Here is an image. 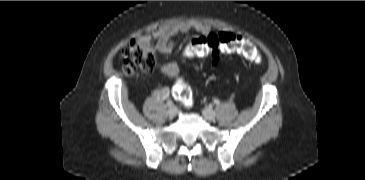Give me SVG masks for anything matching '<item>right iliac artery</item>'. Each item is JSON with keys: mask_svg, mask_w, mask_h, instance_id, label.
Listing matches in <instances>:
<instances>
[{"mask_svg": "<svg viewBox=\"0 0 365 180\" xmlns=\"http://www.w3.org/2000/svg\"><path fill=\"white\" fill-rule=\"evenodd\" d=\"M167 106L171 107L173 105V102L172 100H168L167 103H166Z\"/></svg>", "mask_w": 365, "mask_h": 180, "instance_id": "right-iliac-artery-1", "label": "right iliac artery"}]
</instances>
